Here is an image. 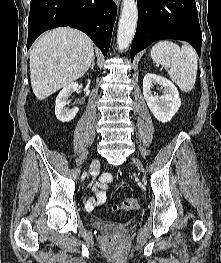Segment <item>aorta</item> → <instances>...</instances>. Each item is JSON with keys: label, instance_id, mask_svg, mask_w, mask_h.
I'll return each instance as SVG.
<instances>
[{"label": "aorta", "instance_id": "1", "mask_svg": "<svg viewBox=\"0 0 221 263\" xmlns=\"http://www.w3.org/2000/svg\"><path fill=\"white\" fill-rule=\"evenodd\" d=\"M137 19L138 9L135 0H123L117 33V44L120 51L130 46L136 31Z\"/></svg>", "mask_w": 221, "mask_h": 263}]
</instances>
